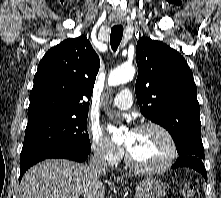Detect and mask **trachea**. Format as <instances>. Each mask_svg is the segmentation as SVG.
<instances>
[{
	"label": "trachea",
	"instance_id": "obj_1",
	"mask_svg": "<svg viewBox=\"0 0 221 198\" xmlns=\"http://www.w3.org/2000/svg\"><path fill=\"white\" fill-rule=\"evenodd\" d=\"M123 36V27L121 26H114L111 29V34H110V44L112 47L113 51H116Z\"/></svg>",
	"mask_w": 221,
	"mask_h": 198
}]
</instances>
